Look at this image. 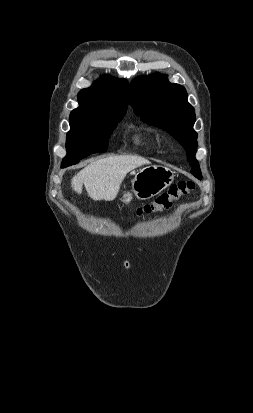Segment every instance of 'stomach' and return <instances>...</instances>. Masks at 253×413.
Instances as JSON below:
<instances>
[{"label":"stomach","mask_w":253,"mask_h":413,"mask_svg":"<svg viewBox=\"0 0 253 413\" xmlns=\"http://www.w3.org/2000/svg\"><path fill=\"white\" fill-rule=\"evenodd\" d=\"M174 180V173L163 166L151 165L140 169L132 180V192L140 200L150 199L164 189ZM132 193L125 192L122 202L129 204L132 200Z\"/></svg>","instance_id":"stomach-1"}]
</instances>
